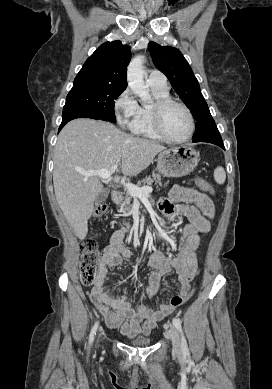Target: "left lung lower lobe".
<instances>
[{"label":"left lung lower lobe","instance_id":"1","mask_svg":"<svg viewBox=\"0 0 272 389\" xmlns=\"http://www.w3.org/2000/svg\"><path fill=\"white\" fill-rule=\"evenodd\" d=\"M194 142H209V143L218 145L222 149L225 150V147H224L221 135H220V133H219L217 128L213 129L212 131H210L209 133L204 135L202 138H200V139H198V140H196Z\"/></svg>","mask_w":272,"mask_h":389}]
</instances>
